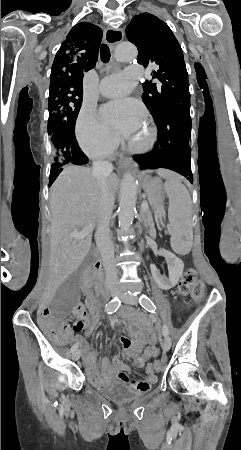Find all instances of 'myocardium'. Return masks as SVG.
<instances>
[{"mask_svg": "<svg viewBox=\"0 0 241 450\" xmlns=\"http://www.w3.org/2000/svg\"><path fill=\"white\" fill-rule=\"evenodd\" d=\"M147 135H154L155 131L154 130H147L146 131ZM155 138L154 137H146V139L143 140V153H148V149H153V144H151V142H154Z\"/></svg>", "mask_w": 241, "mask_h": 450, "instance_id": "obj_1", "label": "myocardium"}]
</instances>
